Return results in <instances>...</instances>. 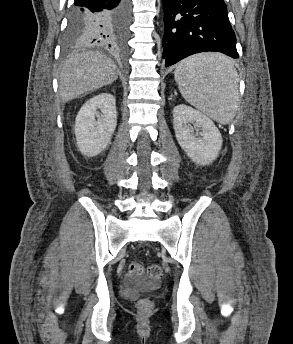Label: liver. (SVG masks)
Instances as JSON below:
<instances>
[{
	"label": "liver",
	"mask_w": 293,
	"mask_h": 344,
	"mask_svg": "<svg viewBox=\"0 0 293 344\" xmlns=\"http://www.w3.org/2000/svg\"><path fill=\"white\" fill-rule=\"evenodd\" d=\"M118 75L116 64L102 53H76L62 67L59 78L60 97L68 102L113 83Z\"/></svg>",
	"instance_id": "6515ba94"
}]
</instances>
